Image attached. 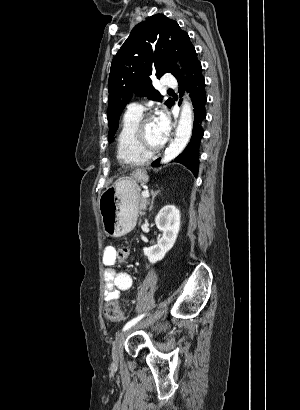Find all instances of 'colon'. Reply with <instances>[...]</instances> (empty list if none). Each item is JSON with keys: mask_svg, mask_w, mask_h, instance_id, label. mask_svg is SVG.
I'll return each instance as SVG.
<instances>
[{"mask_svg": "<svg viewBox=\"0 0 300 410\" xmlns=\"http://www.w3.org/2000/svg\"><path fill=\"white\" fill-rule=\"evenodd\" d=\"M129 258V249L126 246H120L115 250V259L118 262H126ZM105 316L112 321H119L123 317L122 310L117 302L111 301L104 307Z\"/></svg>", "mask_w": 300, "mask_h": 410, "instance_id": "colon-1", "label": "colon"}]
</instances>
